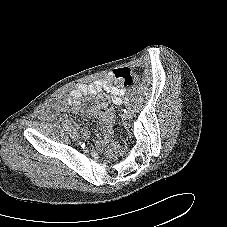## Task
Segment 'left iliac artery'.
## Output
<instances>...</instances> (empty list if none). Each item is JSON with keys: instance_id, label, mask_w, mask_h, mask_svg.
Instances as JSON below:
<instances>
[{"instance_id": "1", "label": "left iliac artery", "mask_w": 227, "mask_h": 227, "mask_svg": "<svg viewBox=\"0 0 227 227\" xmlns=\"http://www.w3.org/2000/svg\"><path fill=\"white\" fill-rule=\"evenodd\" d=\"M124 105L125 106H130L129 100L127 98H125V100H124Z\"/></svg>"}]
</instances>
